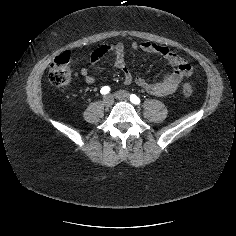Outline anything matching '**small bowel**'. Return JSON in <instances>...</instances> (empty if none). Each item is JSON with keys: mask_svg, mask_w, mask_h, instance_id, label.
I'll use <instances>...</instances> for the list:
<instances>
[{"mask_svg": "<svg viewBox=\"0 0 236 236\" xmlns=\"http://www.w3.org/2000/svg\"><path fill=\"white\" fill-rule=\"evenodd\" d=\"M132 48L151 52L163 57L173 66V70L161 81L157 82H150L140 76L134 77L126 65L125 49L122 43H116L113 46L102 45L96 48L90 56L91 64L95 65L109 51H112L114 66L122 72L124 83L129 85L134 82L137 86L155 96H167L173 94L181 86L183 79L190 76L192 73V66L189 61L168 47L152 42H134L132 43ZM80 74L86 84L93 85L96 83V78L90 74L87 67H82L80 69Z\"/></svg>", "mask_w": 236, "mask_h": 236, "instance_id": "c3829d8e", "label": "small bowel"}]
</instances>
